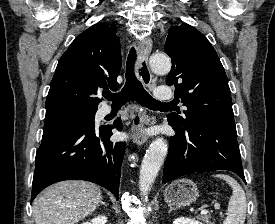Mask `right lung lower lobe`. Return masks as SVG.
<instances>
[{
  "instance_id": "obj_1",
  "label": "right lung lower lobe",
  "mask_w": 275,
  "mask_h": 224,
  "mask_svg": "<svg viewBox=\"0 0 275 224\" xmlns=\"http://www.w3.org/2000/svg\"><path fill=\"white\" fill-rule=\"evenodd\" d=\"M122 127L120 118L100 128L72 121L46 123L36 152L31 202L42 189L64 180L94 182L118 199L126 144L109 139L113 128Z\"/></svg>"
}]
</instances>
